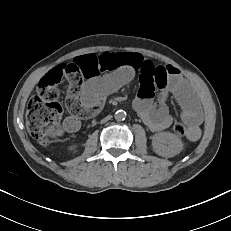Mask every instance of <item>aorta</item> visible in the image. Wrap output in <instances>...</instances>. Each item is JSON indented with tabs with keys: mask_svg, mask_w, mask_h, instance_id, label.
<instances>
[{
	"mask_svg": "<svg viewBox=\"0 0 231 231\" xmlns=\"http://www.w3.org/2000/svg\"><path fill=\"white\" fill-rule=\"evenodd\" d=\"M115 119L117 120V121H121V120H124L125 119V117H126V112L125 111H123V110H118V111H116L115 112Z\"/></svg>",
	"mask_w": 231,
	"mask_h": 231,
	"instance_id": "1",
	"label": "aorta"
}]
</instances>
